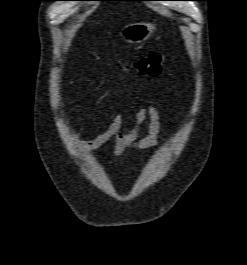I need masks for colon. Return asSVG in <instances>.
I'll use <instances>...</instances> for the list:
<instances>
[{
	"label": "colon",
	"instance_id": "obj_1",
	"mask_svg": "<svg viewBox=\"0 0 247 265\" xmlns=\"http://www.w3.org/2000/svg\"><path fill=\"white\" fill-rule=\"evenodd\" d=\"M167 57L156 51H152L129 64L126 68L134 70L142 77H156L162 72Z\"/></svg>",
	"mask_w": 247,
	"mask_h": 265
}]
</instances>
